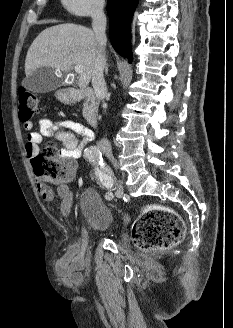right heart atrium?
I'll return each instance as SVG.
<instances>
[{
  "label": "right heart atrium",
  "mask_w": 233,
  "mask_h": 328,
  "mask_svg": "<svg viewBox=\"0 0 233 328\" xmlns=\"http://www.w3.org/2000/svg\"><path fill=\"white\" fill-rule=\"evenodd\" d=\"M64 7L76 16H95L102 12L104 0H61Z\"/></svg>",
  "instance_id": "right-heart-atrium-1"
}]
</instances>
